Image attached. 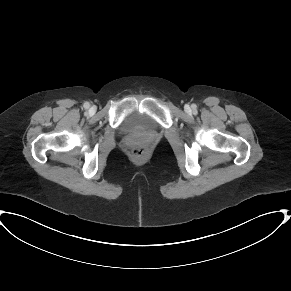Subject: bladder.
<instances>
[{
  "instance_id": "1",
  "label": "bladder",
  "mask_w": 291,
  "mask_h": 291,
  "mask_svg": "<svg viewBox=\"0 0 291 291\" xmlns=\"http://www.w3.org/2000/svg\"><path fill=\"white\" fill-rule=\"evenodd\" d=\"M150 124L151 121L145 114L137 113L124 120L123 129L125 132L144 130L147 129Z\"/></svg>"
}]
</instances>
